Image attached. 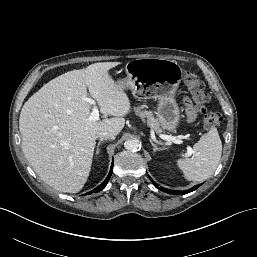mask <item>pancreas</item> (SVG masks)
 <instances>
[{"instance_id": "cf45deb5", "label": "pancreas", "mask_w": 257, "mask_h": 257, "mask_svg": "<svg viewBox=\"0 0 257 257\" xmlns=\"http://www.w3.org/2000/svg\"><path fill=\"white\" fill-rule=\"evenodd\" d=\"M136 114L139 115L141 118L147 117L148 125L152 129H154L157 133H161L164 130L162 125L159 123V121L153 117L152 112H150V111H141L140 108H137L136 109Z\"/></svg>"}]
</instances>
